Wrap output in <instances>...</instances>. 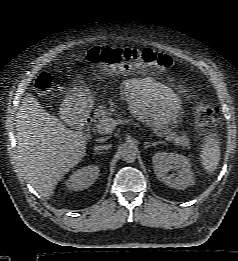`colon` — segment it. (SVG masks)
Instances as JSON below:
<instances>
[{
	"instance_id": "5ec220e1",
	"label": "colon",
	"mask_w": 238,
	"mask_h": 261,
	"mask_svg": "<svg viewBox=\"0 0 238 261\" xmlns=\"http://www.w3.org/2000/svg\"><path fill=\"white\" fill-rule=\"evenodd\" d=\"M86 59L89 63L100 67L108 73L127 72H161L173 67L172 59L164 54L151 50L101 45L91 48ZM52 85V77L41 73L34 87L38 93H46ZM195 121L203 135H209L219 125L220 118L217 108L205 99L198 98L195 104Z\"/></svg>"
}]
</instances>
